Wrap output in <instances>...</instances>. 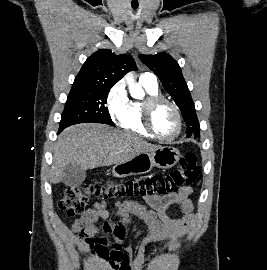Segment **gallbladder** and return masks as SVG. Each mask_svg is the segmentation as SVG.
I'll return each mask as SVG.
<instances>
[{"instance_id": "1", "label": "gallbladder", "mask_w": 267, "mask_h": 270, "mask_svg": "<svg viewBox=\"0 0 267 270\" xmlns=\"http://www.w3.org/2000/svg\"><path fill=\"white\" fill-rule=\"evenodd\" d=\"M85 178V170L81 169L78 165L69 164L63 170L62 182L67 186H79Z\"/></svg>"}]
</instances>
